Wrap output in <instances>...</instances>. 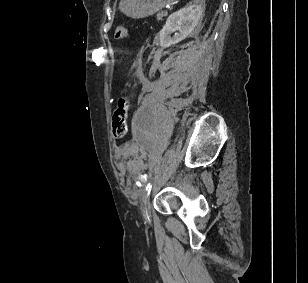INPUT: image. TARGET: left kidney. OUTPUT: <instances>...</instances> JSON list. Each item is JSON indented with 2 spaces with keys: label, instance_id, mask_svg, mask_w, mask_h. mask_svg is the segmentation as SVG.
<instances>
[{
  "label": "left kidney",
  "instance_id": "left-kidney-1",
  "mask_svg": "<svg viewBox=\"0 0 308 283\" xmlns=\"http://www.w3.org/2000/svg\"><path fill=\"white\" fill-rule=\"evenodd\" d=\"M204 12V1L193 0V3L171 14L159 33L160 45L167 48L185 39L198 25ZM171 33H175L170 37Z\"/></svg>",
  "mask_w": 308,
  "mask_h": 283
}]
</instances>
